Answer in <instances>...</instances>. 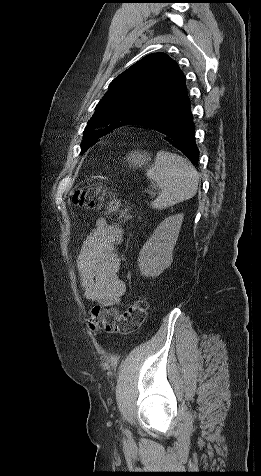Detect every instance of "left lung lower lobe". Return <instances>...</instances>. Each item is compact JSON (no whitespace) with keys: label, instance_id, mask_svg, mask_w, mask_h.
<instances>
[{"label":"left lung lower lobe","instance_id":"left-lung-lower-lobe-1","mask_svg":"<svg viewBox=\"0 0 261 476\" xmlns=\"http://www.w3.org/2000/svg\"><path fill=\"white\" fill-rule=\"evenodd\" d=\"M136 124L163 134L172 147L181 151L193 164H198L199 151L195 143V126L187 95L161 114L152 115Z\"/></svg>","mask_w":261,"mask_h":476}]
</instances>
